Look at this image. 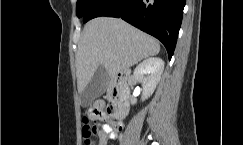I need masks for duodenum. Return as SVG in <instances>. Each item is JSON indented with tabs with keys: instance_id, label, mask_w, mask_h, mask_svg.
Listing matches in <instances>:
<instances>
[{
	"instance_id": "410a0bca",
	"label": "duodenum",
	"mask_w": 243,
	"mask_h": 145,
	"mask_svg": "<svg viewBox=\"0 0 243 145\" xmlns=\"http://www.w3.org/2000/svg\"><path fill=\"white\" fill-rule=\"evenodd\" d=\"M129 78L130 74L125 70L114 76L108 112L115 119H123L128 113Z\"/></svg>"
}]
</instances>
